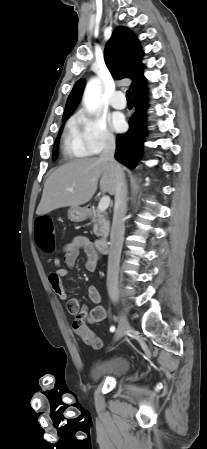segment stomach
I'll return each mask as SVG.
<instances>
[{
    "label": "stomach",
    "mask_w": 207,
    "mask_h": 449,
    "mask_svg": "<svg viewBox=\"0 0 207 449\" xmlns=\"http://www.w3.org/2000/svg\"><path fill=\"white\" fill-rule=\"evenodd\" d=\"M67 215L72 222H82L88 217V210L79 206H71L67 211Z\"/></svg>",
    "instance_id": "obj_1"
}]
</instances>
